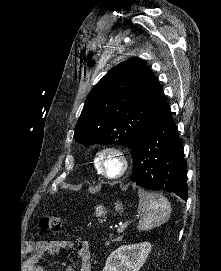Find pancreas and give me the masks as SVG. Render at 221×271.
I'll return each instance as SVG.
<instances>
[{
    "label": "pancreas",
    "instance_id": "obj_1",
    "mask_svg": "<svg viewBox=\"0 0 221 271\" xmlns=\"http://www.w3.org/2000/svg\"><path fill=\"white\" fill-rule=\"evenodd\" d=\"M112 244H115V239H106L105 247H112Z\"/></svg>",
    "mask_w": 221,
    "mask_h": 271
}]
</instances>
